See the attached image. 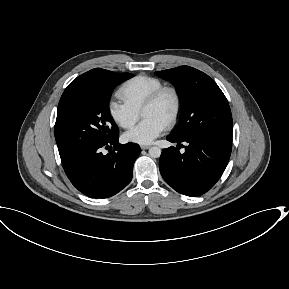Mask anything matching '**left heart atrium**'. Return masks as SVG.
<instances>
[{"mask_svg":"<svg viewBox=\"0 0 289 289\" xmlns=\"http://www.w3.org/2000/svg\"><path fill=\"white\" fill-rule=\"evenodd\" d=\"M165 128L166 124L156 118H144L136 127L124 134V139L141 145L150 144Z\"/></svg>","mask_w":289,"mask_h":289,"instance_id":"obj_1","label":"left heart atrium"}]
</instances>
